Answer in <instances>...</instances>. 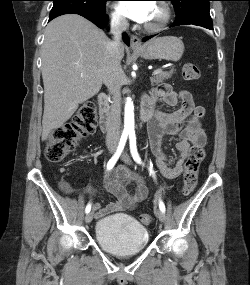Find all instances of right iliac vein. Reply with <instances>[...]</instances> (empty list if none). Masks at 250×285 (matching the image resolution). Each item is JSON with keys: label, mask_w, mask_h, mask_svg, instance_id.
I'll use <instances>...</instances> for the list:
<instances>
[{"label": "right iliac vein", "mask_w": 250, "mask_h": 285, "mask_svg": "<svg viewBox=\"0 0 250 285\" xmlns=\"http://www.w3.org/2000/svg\"><path fill=\"white\" fill-rule=\"evenodd\" d=\"M114 151H115V148H114V147H111V148H110V152L113 153ZM92 219H93V213H92V212H89V213L86 215V217H85V222H86L87 224H89V223L92 221Z\"/></svg>", "instance_id": "right-iliac-vein-1"}]
</instances>
